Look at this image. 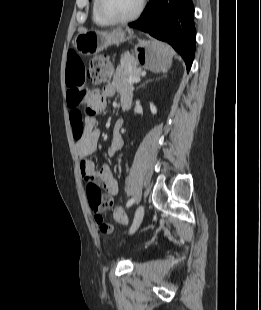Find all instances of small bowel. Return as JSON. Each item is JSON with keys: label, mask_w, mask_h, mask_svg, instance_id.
<instances>
[{"label": "small bowel", "mask_w": 261, "mask_h": 310, "mask_svg": "<svg viewBox=\"0 0 261 310\" xmlns=\"http://www.w3.org/2000/svg\"><path fill=\"white\" fill-rule=\"evenodd\" d=\"M67 99L71 107L70 121L75 138L76 153L79 158V170L85 182L101 185L108 196L105 204L93 208L95 215H101L113 205V196L119 192V185L111 167L107 164L97 170L96 164L90 160L95 152L99 132L96 127L95 115L103 112L106 107V99L119 92L122 97H132L131 86L125 81L123 69L117 68L111 83L102 89L91 92L88 99V107L84 114L78 108V103L85 88V68L79 55L73 51L68 53L66 65ZM123 122L117 120L114 124L109 155L114 156L123 146L121 134Z\"/></svg>", "instance_id": "obj_1"}]
</instances>
